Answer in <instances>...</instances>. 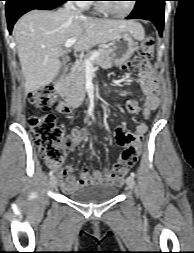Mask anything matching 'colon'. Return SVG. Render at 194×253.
Here are the masks:
<instances>
[{
    "label": "colon",
    "mask_w": 194,
    "mask_h": 253,
    "mask_svg": "<svg viewBox=\"0 0 194 253\" xmlns=\"http://www.w3.org/2000/svg\"><path fill=\"white\" fill-rule=\"evenodd\" d=\"M153 54V39L150 36L143 38L138 47L140 59H148ZM29 102L37 109L42 111L49 110L55 103V94L52 87L46 86L29 94ZM28 125L34 137L40 155L52 164L59 166L65 156L64 137L54 114L45 113L41 116L29 118ZM138 151L127 148L122 154L121 159L115 164L112 174L120 177L125 170L131 168L137 158Z\"/></svg>",
    "instance_id": "colon-1"
}]
</instances>
